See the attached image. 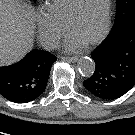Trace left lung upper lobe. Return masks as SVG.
<instances>
[{
	"instance_id": "1",
	"label": "left lung upper lobe",
	"mask_w": 135,
	"mask_h": 135,
	"mask_svg": "<svg viewBox=\"0 0 135 135\" xmlns=\"http://www.w3.org/2000/svg\"><path fill=\"white\" fill-rule=\"evenodd\" d=\"M135 18V0H117L114 27L122 28Z\"/></svg>"
}]
</instances>
